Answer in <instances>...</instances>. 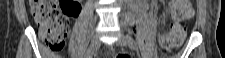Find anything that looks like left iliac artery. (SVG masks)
Returning a JSON list of instances; mask_svg holds the SVG:
<instances>
[{"label": "left iliac artery", "instance_id": "obj_1", "mask_svg": "<svg viewBox=\"0 0 225 58\" xmlns=\"http://www.w3.org/2000/svg\"><path fill=\"white\" fill-rule=\"evenodd\" d=\"M129 39V45L132 49H136V42L130 37L128 36Z\"/></svg>", "mask_w": 225, "mask_h": 58}]
</instances>
